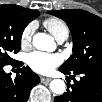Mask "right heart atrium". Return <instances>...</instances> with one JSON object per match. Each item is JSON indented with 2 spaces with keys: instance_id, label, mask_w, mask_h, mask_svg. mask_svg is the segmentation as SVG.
I'll use <instances>...</instances> for the list:
<instances>
[{
  "instance_id": "obj_1",
  "label": "right heart atrium",
  "mask_w": 102,
  "mask_h": 102,
  "mask_svg": "<svg viewBox=\"0 0 102 102\" xmlns=\"http://www.w3.org/2000/svg\"><path fill=\"white\" fill-rule=\"evenodd\" d=\"M35 30V25L33 22L29 23L23 30L22 34H21V41L22 44H28L30 43L31 39H32V35L34 33Z\"/></svg>"
}]
</instances>
